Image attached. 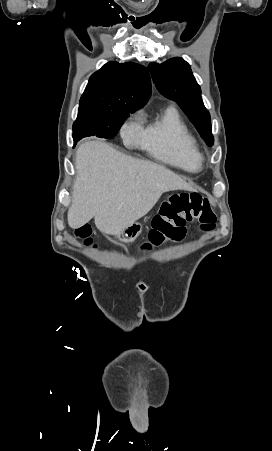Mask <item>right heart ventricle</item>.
Returning <instances> with one entry per match:
<instances>
[{
	"mask_svg": "<svg viewBox=\"0 0 272 451\" xmlns=\"http://www.w3.org/2000/svg\"><path fill=\"white\" fill-rule=\"evenodd\" d=\"M139 144L157 160L191 174L199 168V153L195 141L173 108L147 127Z\"/></svg>",
	"mask_w": 272,
	"mask_h": 451,
	"instance_id": "1",
	"label": "right heart ventricle"
}]
</instances>
